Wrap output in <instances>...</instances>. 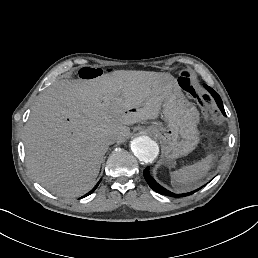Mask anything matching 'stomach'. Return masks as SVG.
<instances>
[{
    "label": "stomach",
    "mask_w": 258,
    "mask_h": 258,
    "mask_svg": "<svg viewBox=\"0 0 258 258\" xmlns=\"http://www.w3.org/2000/svg\"><path fill=\"white\" fill-rule=\"evenodd\" d=\"M162 114L166 126H148L147 129L159 140L166 161L186 156L198 145L199 111L185 96L178 79L172 77L171 90L163 102Z\"/></svg>",
    "instance_id": "obj_1"
}]
</instances>
